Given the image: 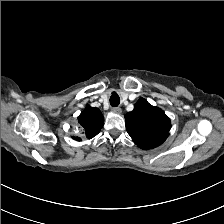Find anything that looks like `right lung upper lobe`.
<instances>
[{
	"label": "right lung upper lobe",
	"instance_id": "1",
	"mask_svg": "<svg viewBox=\"0 0 224 224\" xmlns=\"http://www.w3.org/2000/svg\"><path fill=\"white\" fill-rule=\"evenodd\" d=\"M104 117L98 108L87 105L85 110L78 116V123L82 127L83 134L91 139L96 136L103 126ZM80 141L79 137H72Z\"/></svg>",
	"mask_w": 224,
	"mask_h": 224
}]
</instances>
